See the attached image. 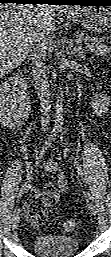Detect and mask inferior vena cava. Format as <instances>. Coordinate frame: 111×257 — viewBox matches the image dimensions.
Wrapping results in <instances>:
<instances>
[{"instance_id":"602c4592","label":"inferior vena cava","mask_w":111,"mask_h":257,"mask_svg":"<svg viewBox=\"0 0 111 257\" xmlns=\"http://www.w3.org/2000/svg\"><path fill=\"white\" fill-rule=\"evenodd\" d=\"M46 55H47V46L44 36H38L31 48V60L33 64V75L36 79L39 99L41 106V124L42 127H47L50 122V90L48 83V73L49 69L46 66Z\"/></svg>"}]
</instances>
